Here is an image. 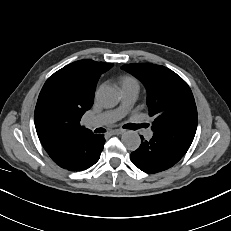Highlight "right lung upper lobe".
Segmentation results:
<instances>
[{"instance_id":"cb5924a9","label":"right lung upper lobe","mask_w":231,"mask_h":231,"mask_svg":"<svg viewBox=\"0 0 231 231\" xmlns=\"http://www.w3.org/2000/svg\"><path fill=\"white\" fill-rule=\"evenodd\" d=\"M112 66L84 59L47 79L35 108L36 131L46 151L66 138L90 131L80 125V120L93 104L100 75Z\"/></svg>"}]
</instances>
